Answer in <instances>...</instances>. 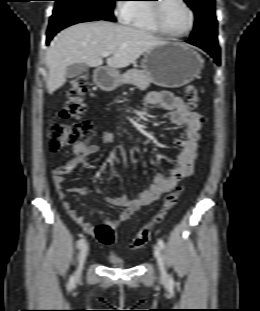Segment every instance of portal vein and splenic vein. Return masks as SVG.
Returning a JSON list of instances; mask_svg holds the SVG:
<instances>
[{
	"mask_svg": "<svg viewBox=\"0 0 260 311\" xmlns=\"http://www.w3.org/2000/svg\"><path fill=\"white\" fill-rule=\"evenodd\" d=\"M110 55H111L110 52H103L101 54L102 57H109Z\"/></svg>",
	"mask_w": 260,
	"mask_h": 311,
	"instance_id": "1",
	"label": "portal vein and splenic vein"
}]
</instances>
